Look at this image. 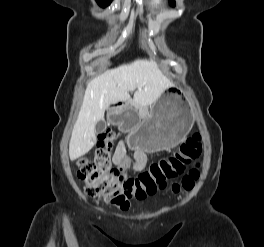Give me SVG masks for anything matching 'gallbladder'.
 <instances>
[{
  "label": "gallbladder",
  "mask_w": 264,
  "mask_h": 247,
  "mask_svg": "<svg viewBox=\"0 0 264 247\" xmlns=\"http://www.w3.org/2000/svg\"><path fill=\"white\" fill-rule=\"evenodd\" d=\"M106 128V122L105 120H98L96 126H95V133H101Z\"/></svg>",
  "instance_id": "gallbladder-1"
}]
</instances>
